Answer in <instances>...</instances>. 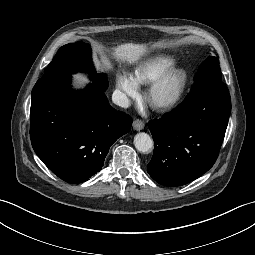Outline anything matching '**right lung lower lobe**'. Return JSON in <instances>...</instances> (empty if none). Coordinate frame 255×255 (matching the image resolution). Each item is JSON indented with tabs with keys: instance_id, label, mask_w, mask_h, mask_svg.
Here are the masks:
<instances>
[{
	"instance_id": "right-lung-lower-lobe-1",
	"label": "right lung lower lobe",
	"mask_w": 255,
	"mask_h": 255,
	"mask_svg": "<svg viewBox=\"0 0 255 255\" xmlns=\"http://www.w3.org/2000/svg\"><path fill=\"white\" fill-rule=\"evenodd\" d=\"M71 75H43L32 90L30 138L34 151L59 178L81 183L97 173L111 145L132 119L113 109L104 90L74 91Z\"/></svg>"
}]
</instances>
